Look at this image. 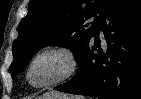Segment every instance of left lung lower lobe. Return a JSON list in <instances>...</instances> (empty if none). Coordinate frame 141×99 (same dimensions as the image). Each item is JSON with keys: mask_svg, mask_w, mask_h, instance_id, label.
<instances>
[{"mask_svg": "<svg viewBox=\"0 0 141 99\" xmlns=\"http://www.w3.org/2000/svg\"><path fill=\"white\" fill-rule=\"evenodd\" d=\"M99 29L107 52L100 49ZM78 61L75 76L56 90L99 99H141V0H117L109 7Z\"/></svg>", "mask_w": 141, "mask_h": 99, "instance_id": "obj_1", "label": "left lung lower lobe"}]
</instances>
